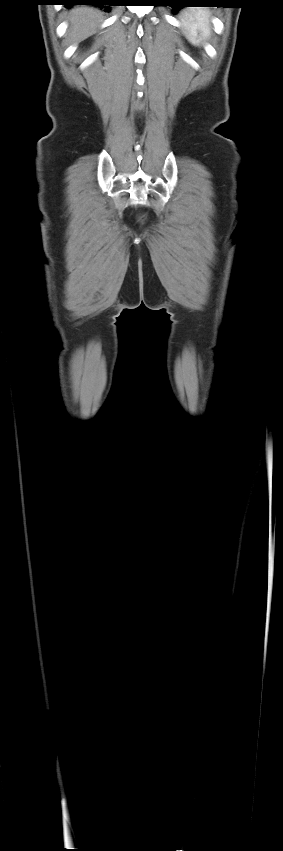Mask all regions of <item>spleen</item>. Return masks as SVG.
I'll use <instances>...</instances> for the list:
<instances>
[{
  "instance_id": "3e777b00",
  "label": "spleen",
  "mask_w": 283,
  "mask_h": 851,
  "mask_svg": "<svg viewBox=\"0 0 283 851\" xmlns=\"http://www.w3.org/2000/svg\"><path fill=\"white\" fill-rule=\"evenodd\" d=\"M183 33L193 45H200L210 35L209 10L205 8L186 9L182 13Z\"/></svg>"
}]
</instances>
